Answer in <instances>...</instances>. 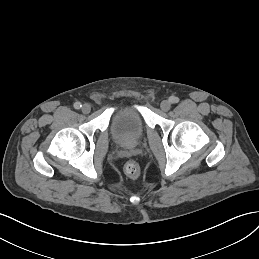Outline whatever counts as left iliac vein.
<instances>
[{"label":"left iliac vein","instance_id":"left-iliac-vein-1","mask_svg":"<svg viewBox=\"0 0 259 259\" xmlns=\"http://www.w3.org/2000/svg\"><path fill=\"white\" fill-rule=\"evenodd\" d=\"M160 107L163 111H168L171 107V103L168 100H163L160 104Z\"/></svg>","mask_w":259,"mask_h":259}]
</instances>
